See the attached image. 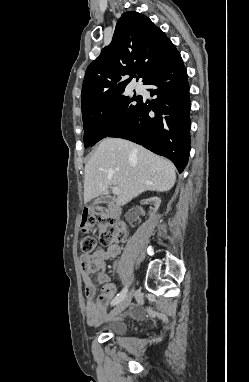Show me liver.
<instances>
[{"instance_id":"liver-1","label":"liver","mask_w":249,"mask_h":382,"mask_svg":"<svg viewBox=\"0 0 249 382\" xmlns=\"http://www.w3.org/2000/svg\"><path fill=\"white\" fill-rule=\"evenodd\" d=\"M172 162L144 147L120 138L103 139L85 165L84 202L120 189L123 206L144 191H169L175 184Z\"/></svg>"}]
</instances>
